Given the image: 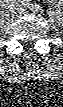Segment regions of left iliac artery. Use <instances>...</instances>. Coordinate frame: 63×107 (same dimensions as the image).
I'll list each match as a JSON object with an SVG mask.
<instances>
[{"label": "left iliac artery", "mask_w": 63, "mask_h": 107, "mask_svg": "<svg viewBox=\"0 0 63 107\" xmlns=\"http://www.w3.org/2000/svg\"><path fill=\"white\" fill-rule=\"evenodd\" d=\"M15 3H17L19 5H23L29 9L33 10L34 12H41V13L44 12V10L42 9V7L39 4L32 3V2H30V0L16 1Z\"/></svg>", "instance_id": "left-iliac-artery-1"}]
</instances>
